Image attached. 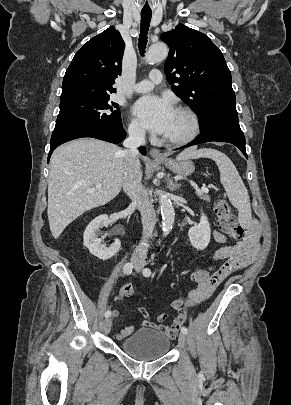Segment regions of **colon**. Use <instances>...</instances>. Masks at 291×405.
Masks as SVG:
<instances>
[{"label":"colon","mask_w":291,"mask_h":405,"mask_svg":"<svg viewBox=\"0 0 291 405\" xmlns=\"http://www.w3.org/2000/svg\"><path fill=\"white\" fill-rule=\"evenodd\" d=\"M215 214L218 218L220 229L228 236L240 240L244 237V229L238 223L236 217L231 212L229 205L223 199H219L215 205ZM213 269H199L192 275L194 282L201 284L208 282L213 277ZM123 298L132 297L134 289L130 284L124 285L120 290Z\"/></svg>","instance_id":"colon-1"}]
</instances>
